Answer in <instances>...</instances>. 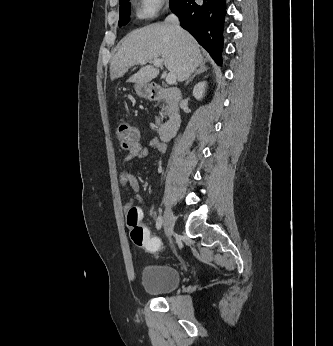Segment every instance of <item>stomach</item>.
<instances>
[{"instance_id":"obj_1","label":"stomach","mask_w":333,"mask_h":346,"mask_svg":"<svg viewBox=\"0 0 333 346\" xmlns=\"http://www.w3.org/2000/svg\"><path fill=\"white\" fill-rule=\"evenodd\" d=\"M134 89L137 93V95L141 98H147L150 96L151 93V87L148 84H138L136 83L134 85Z\"/></svg>"}]
</instances>
